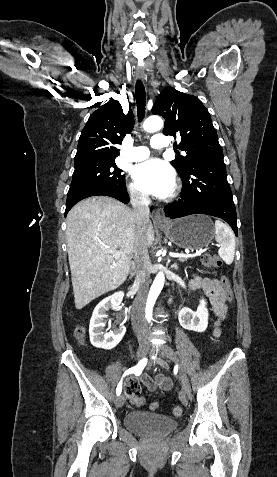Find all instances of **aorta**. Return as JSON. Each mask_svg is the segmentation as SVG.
I'll use <instances>...</instances> for the list:
<instances>
[{"label":"aorta","instance_id":"1","mask_svg":"<svg viewBox=\"0 0 277 477\" xmlns=\"http://www.w3.org/2000/svg\"><path fill=\"white\" fill-rule=\"evenodd\" d=\"M163 127V121L158 116H151L147 118L143 124V128L147 132H155L160 130ZM165 276L162 272L158 273L155 277V280L151 286L146 306H145V317L148 321L152 319L153 307L154 304L164 286Z\"/></svg>","mask_w":277,"mask_h":477}]
</instances>
